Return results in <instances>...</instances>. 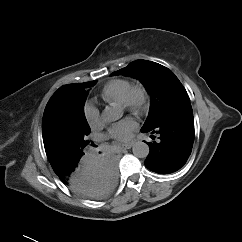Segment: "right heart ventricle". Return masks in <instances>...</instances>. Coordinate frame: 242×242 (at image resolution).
I'll list each match as a JSON object with an SVG mask.
<instances>
[{
  "label": "right heart ventricle",
  "instance_id": "obj_1",
  "mask_svg": "<svg viewBox=\"0 0 242 242\" xmlns=\"http://www.w3.org/2000/svg\"><path fill=\"white\" fill-rule=\"evenodd\" d=\"M130 85L128 79H113L104 85L100 96L105 102L121 104Z\"/></svg>",
  "mask_w": 242,
  "mask_h": 242
}]
</instances>
